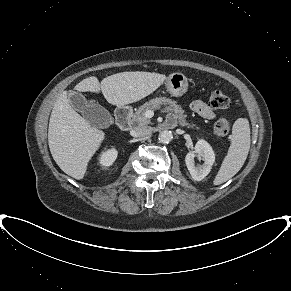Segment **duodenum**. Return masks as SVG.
Segmentation results:
<instances>
[{
  "label": "duodenum",
  "mask_w": 291,
  "mask_h": 291,
  "mask_svg": "<svg viewBox=\"0 0 291 291\" xmlns=\"http://www.w3.org/2000/svg\"><path fill=\"white\" fill-rule=\"evenodd\" d=\"M116 121L120 129L129 130L131 128V109L120 107L116 110Z\"/></svg>",
  "instance_id": "410a0bca"
}]
</instances>
